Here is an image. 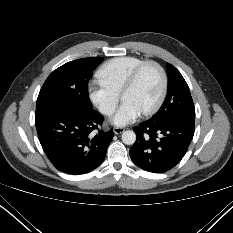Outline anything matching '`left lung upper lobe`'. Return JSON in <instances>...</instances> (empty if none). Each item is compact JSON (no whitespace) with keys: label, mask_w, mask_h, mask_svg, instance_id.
<instances>
[{"label":"left lung upper lobe","mask_w":233,"mask_h":233,"mask_svg":"<svg viewBox=\"0 0 233 233\" xmlns=\"http://www.w3.org/2000/svg\"><path fill=\"white\" fill-rule=\"evenodd\" d=\"M168 93L160 110L149 120L164 122L177 117L195 118V108L189 87L180 72L167 63Z\"/></svg>","instance_id":"left-lung-upper-lobe-1"}]
</instances>
